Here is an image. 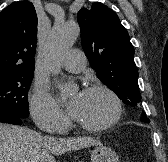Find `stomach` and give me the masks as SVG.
<instances>
[{
	"mask_svg": "<svg viewBox=\"0 0 168 162\" xmlns=\"http://www.w3.org/2000/svg\"><path fill=\"white\" fill-rule=\"evenodd\" d=\"M92 162H119V158L115 151L111 148L100 145L91 153Z\"/></svg>",
	"mask_w": 168,
	"mask_h": 162,
	"instance_id": "1",
	"label": "stomach"
}]
</instances>
